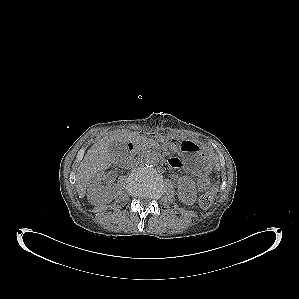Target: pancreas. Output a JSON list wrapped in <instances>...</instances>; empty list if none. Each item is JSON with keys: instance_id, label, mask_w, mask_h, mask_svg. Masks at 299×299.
<instances>
[{"instance_id": "cf45deb5", "label": "pancreas", "mask_w": 299, "mask_h": 299, "mask_svg": "<svg viewBox=\"0 0 299 299\" xmlns=\"http://www.w3.org/2000/svg\"><path fill=\"white\" fill-rule=\"evenodd\" d=\"M135 143H136V146L138 148H146V147H149V146H154L155 145V142L151 139H148L146 137H143V136H139L135 139Z\"/></svg>"}]
</instances>
